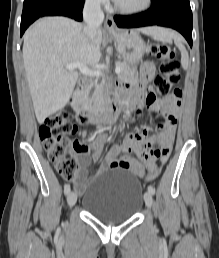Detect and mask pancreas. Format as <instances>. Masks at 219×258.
<instances>
[{
  "label": "pancreas",
  "mask_w": 219,
  "mask_h": 258,
  "mask_svg": "<svg viewBox=\"0 0 219 258\" xmlns=\"http://www.w3.org/2000/svg\"><path fill=\"white\" fill-rule=\"evenodd\" d=\"M116 65L121 67V72L119 73V78L123 81H128L133 79L136 74V69L131 67L129 63L126 61L123 62H116ZM103 101V85L96 84L95 89L91 95H87L86 97V104L89 107L97 108Z\"/></svg>",
  "instance_id": "cf45deb5"
}]
</instances>
